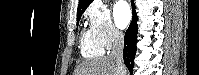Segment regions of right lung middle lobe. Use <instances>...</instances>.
<instances>
[{
  "label": "right lung middle lobe",
  "instance_id": "right-lung-middle-lobe-1",
  "mask_svg": "<svg viewBox=\"0 0 199 75\" xmlns=\"http://www.w3.org/2000/svg\"><path fill=\"white\" fill-rule=\"evenodd\" d=\"M80 18H81V15L77 16V25H78Z\"/></svg>",
  "mask_w": 199,
  "mask_h": 75
}]
</instances>
